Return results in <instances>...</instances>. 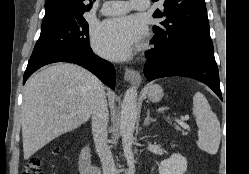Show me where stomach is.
<instances>
[{"mask_svg":"<svg viewBox=\"0 0 249 174\" xmlns=\"http://www.w3.org/2000/svg\"><path fill=\"white\" fill-rule=\"evenodd\" d=\"M146 93H147L148 99L152 102H158L164 96L163 89L158 84H148L146 87Z\"/></svg>","mask_w":249,"mask_h":174,"instance_id":"0dacf381","label":"stomach"}]
</instances>
